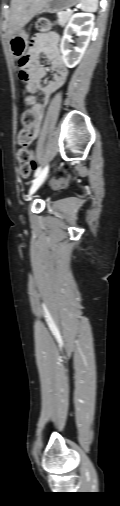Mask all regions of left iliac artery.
<instances>
[{
  "label": "left iliac artery",
  "instance_id": "obj_1",
  "mask_svg": "<svg viewBox=\"0 0 120 506\" xmlns=\"http://www.w3.org/2000/svg\"><path fill=\"white\" fill-rule=\"evenodd\" d=\"M42 172L41 167H38L37 170L34 173V177H37Z\"/></svg>",
  "mask_w": 120,
  "mask_h": 506
}]
</instances>
